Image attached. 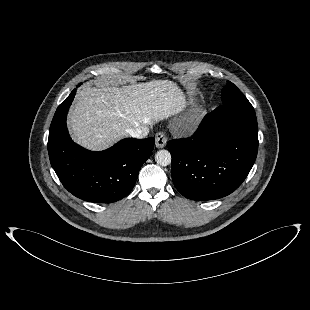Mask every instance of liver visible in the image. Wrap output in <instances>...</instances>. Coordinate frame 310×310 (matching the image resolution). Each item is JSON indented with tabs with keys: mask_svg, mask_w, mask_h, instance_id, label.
Returning a JSON list of instances; mask_svg holds the SVG:
<instances>
[{
	"mask_svg": "<svg viewBox=\"0 0 310 310\" xmlns=\"http://www.w3.org/2000/svg\"><path fill=\"white\" fill-rule=\"evenodd\" d=\"M185 104L183 91L169 80L85 86L77 93L68 123L78 144L100 151L126 137L127 129L149 130L148 124L179 114Z\"/></svg>",
	"mask_w": 310,
	"mask_h": 310,
	"instance_id": "6515ba94",
	"label": "liver"
}]
</instances>
